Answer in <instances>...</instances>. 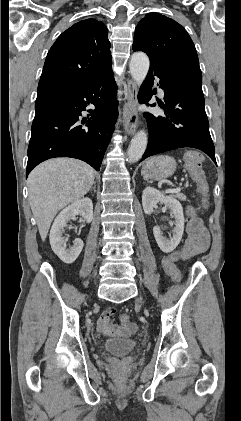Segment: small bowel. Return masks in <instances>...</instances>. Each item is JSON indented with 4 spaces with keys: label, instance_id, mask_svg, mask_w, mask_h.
<instances>
[{
    "label": "small bowel",
    "instance_id": "1",
    "mask_svg": "<svg viewBox=\"0 0 241 421\" xmlns=\"http://www.w3.org/2000/svg\"><path fill=\"white\" fill-rule=\"evenodd\" d=\"M189 217L186 227V242L182 250V256L188 258L205 252L209 246V234L201 219L197 216L196 210L192 206L187 207ZM115 310L106 309L98 319L97 327L100 333L109 337H129L136 330V324L115 325L112 323Z\"/></svg>",
    "mask_w": 241,
    "mask_h": 421
}]
</instances>
